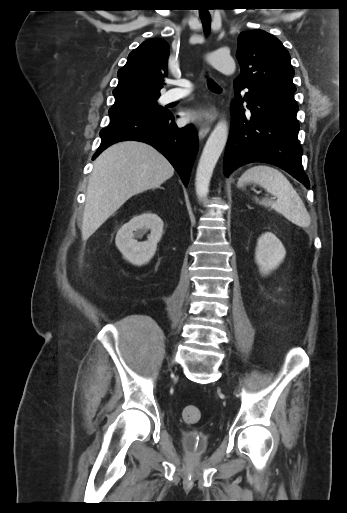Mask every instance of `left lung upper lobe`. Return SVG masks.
Returning <instances> with one entry per match:
<instances>
[{
	"mask_svg": "<svg viewBox=\"0 0 347 513\" xmlns=\"http://www.w3.org/2000/svg\"><path fill=\"white\" fill-rule=\"evenodd\" d=\"M236 57L241 67L234 84L295 91L290 55L280 40L263 30L241 32Z\"/></svg>",
	"mask_w": 347,
	"mask_h": 513,
	"instance_id": "1",
	"label": "left lung upper lobe"
}]
</instances>
